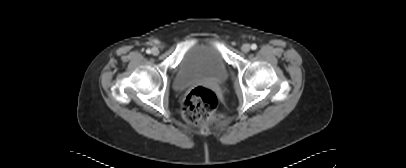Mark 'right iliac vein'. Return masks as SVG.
<instances>
[{"label":"right iliac vein","instance_id":"obj_1","mask_svg":"<svg viewBox=\"0 0 406 168\" xmlns=\"http://www.w3.org/2000/svg\"><path fill=\"white\" fill-rule=\"evenodd\" d=\"M151 53L156 56L159 54V49L157 47H153Z\"/></svg>","mask_w":406,"mask_h":168}]
</instances>
